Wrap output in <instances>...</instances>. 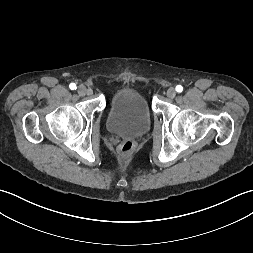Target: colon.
Returning a JSON list of instances; mask_svg holds the SVG:
<instances>
[{
  "mask_svg": "<svg viewBox=\"0 0 253 253\" xmlns=\"http://www.w3.org/2000/svg\"><path fill=\"white\" fill-rule=\"evenodd\" d=\"M134 149H135V142L132 140H126L120 144L118 151L121 158L126 159L132 154Z\"/></svg>",
  "mask_w": 253,
  "mask_h": 253,
  "instance_id": "colon-1",
  "label": "colon"
}]
</instances>
